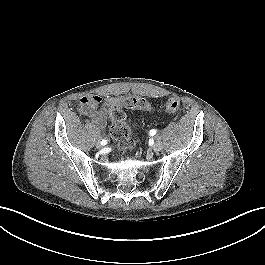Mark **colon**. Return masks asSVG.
Segmentation results:
<instances>
[{
  "label": "colon",
  "mask_w": 265,
  "mask_h": 265,
  "mask_svg": "<svg viewBox=\"0 0 265 265\" xmlns=\"http://www.w3.org/2000/svg\"><path fill=\"white\" fill-rule=\"evenodd\" d=\"M126 109H141L151 111L153 105L146 99L136 96H126L121 98L115 104L109 113L111 119L110 134L116 143L118 149L123 151H131L135 147L134 141L131 139L130 130L126 125ZM167 113H175L180 109V101L177 98L169 99L164 107Z\"/></svg>",
  "instance_id": "1"
}]
</instances>
